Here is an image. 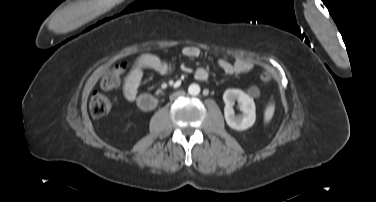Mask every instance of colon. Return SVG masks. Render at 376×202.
Wrapping results in <instances>:
<instances>
[{"label":"colon","instance_id":"colon-1","mask_svg":"<svg viewBox=\"0 0 376 202\" xmlns=\"http://www.w3.org/2000/svg\"><path fill=\"white\" fill-rule=\"evenodd\" d=\"M123 65H116L108 70L102 77L100 85L104 90H111L120 85V75L123 72ZM259 80L262 85L267 86L271 81V76L268 72L262 71L259 74ZM111 103L104 94L94 92L89 100V109L93 117L99 118L104 116L110 109Z\"/></svg>","mask_w":376,"mask_h":202}]
</instances>
